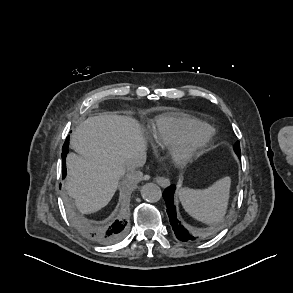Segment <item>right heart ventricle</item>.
<instances>
[{
	"label": "right heart ventricle",
	"mask_w": 293,
	"mask_h": 293,
	"mask_svg": "<svg viewBox=\"0 0 293 293\" xmlns=\"http://www.w3.org/2000/svg\"><path fill=\"white\" fill-rule=\"evenodd\" d=\"M198 123V119L184 113H164L153 120L147 135L154 147L170 148L181 142L188 130Z\"/></svg>",
	"instance_id": "obj_1"
}]
</instances>
